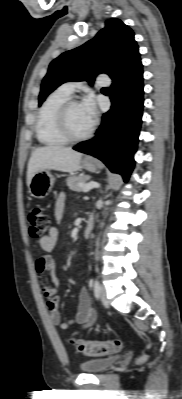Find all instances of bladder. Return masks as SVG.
<instances>
[{
	"label": "bladder",
	"mask_w": 182,
	"mask_h": 399,
	"mask_svg": "<svg viewBox=\"0 0 182 399\" xmlns=\"http://www.w3.org/2000/svg\"><path fill=\"white\" fill-rule=\"evenodd\" d=\"M116 360V356L86 360L80 364V368L86 373H101L115 363Z\"/></svg>",
	"instance_id": "bladder-1"
}]
</instances>
